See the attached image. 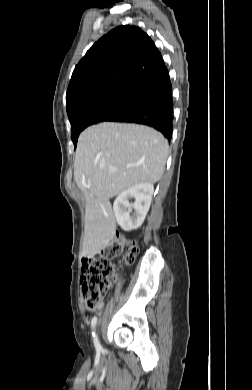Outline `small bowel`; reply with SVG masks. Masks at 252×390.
<instances>
[{
	"label": "small bowel",
	"instance_id": "small-bowel-1",
	"mask_svg": "<svg viewBox=\"0 0 252 390\" xmlns=\"http://www.w3.org/2000/svg\"><path fill=\"white\" fill-rule=\"evenodd\" d=\"M102 307H103V303H100V304H99V308H102Z\"/></svg>",
	"mask_w": 252,
	"mask_h": 390
}]
</instances>
